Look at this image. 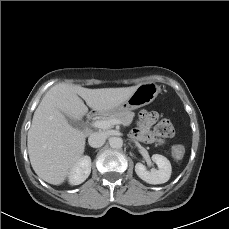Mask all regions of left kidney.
I'll list each match as a JSON object with an SVG mask.
<instances>
[{
  "mask_svg": "<svg viewBox=\"0 0 229 229\" xmlns=\"http://www.w3.org/2000/svg\"><path fill=\"white\" fill-rule=\"evenodd\" d=\"M152 160L157 164L158 169L148 171L142 163H137L135 165L136 174L149 184L155 185L167 182L170 179L172 171L170 161L159 154H154Z\"/></svg>",
  "mask_w": 229,
  "mask_h": 229,
  "instance_id": "obj_1",
  "label": "left kidney"
}]
</instances>
